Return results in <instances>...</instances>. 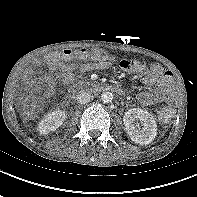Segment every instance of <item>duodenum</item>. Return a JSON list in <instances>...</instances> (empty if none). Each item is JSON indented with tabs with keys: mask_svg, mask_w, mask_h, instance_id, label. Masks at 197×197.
Here are the masks:
<instances>
[{
	"mask_svg": "<svg viewBox=\"0 0 197 197\" xmlns=\"http://www.w3.org/2000/svg\"><path fill=\"white\" fill-rule=\"evenodd\" d=\"M87 91H100V92H104V91H112L115 92L119 95H123L124 94V90L119 88V87H115V86H109V85H105V86H87L85 88ZM79 91L81 90L80 88H75L74 91Z\"/></svg>",
	"mask_w": 197,
	"mask_h": 197,
	"instance_id": "410a0bca",
	"label": "duodenum"
}]
</instances>
